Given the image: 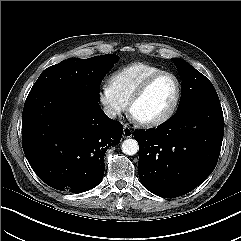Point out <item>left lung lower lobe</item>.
<instances>
[{"label":"left lung lower lobe","instance_id":"1","mask_svg":"<svg viewBox=\"0 0 241 241\" xmlns=\"http://www.w3.org/2000/svg\"><path fill=\"white\" fill-rule=\"evenodd\" d=\"M223 134L221 105L210 104L180 109L157 129L135 130L141 183L163 198L192 191L214 170Z\"/></svg>","mask_w":241,"mask_h":241}]
</instances>
